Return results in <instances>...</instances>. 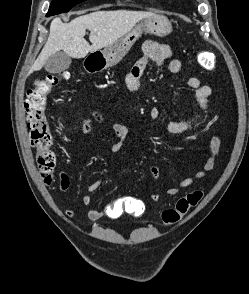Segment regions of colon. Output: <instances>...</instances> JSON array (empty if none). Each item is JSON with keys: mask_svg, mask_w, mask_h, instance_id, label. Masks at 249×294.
I'll return each instance as SVG.
<instances>
[{"mask_svg": "<svg viewBox=\"0 0 249 294\" xmlns=\"http://www.w3.org/2000/svg\"><path fill=\"white\" fill-rule=\"evenodd\" d=\"M198 62L207 71L215 70V59L208 52H199ZM64 78H66L65 74L49 75L38 79L27 94L26 111L30 129V142L36 150L37 165L46 183H51L56 166V155L53 151L54 136L46 108L50 94ZM202 198L203 192L200 190L192 191L181 197L173 208L161 212V223L165 226L177 224L191 208L200 203ZM145 211L144 202L133 197L118 199L111 206V214L115 217L129 215L139 218Z\"/></svg>", "mask_w": 249, "mask_h": 294, "instance_id": "1", "label": "colon"}]
</instances>
